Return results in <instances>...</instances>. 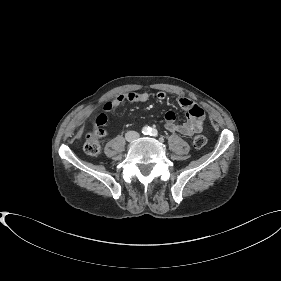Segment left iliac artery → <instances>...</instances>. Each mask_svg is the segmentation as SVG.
I'll return each mask as SVG.
<instances>
[{"label":"left iliac artery","instance_id":"44dca946","mask_svg":"<svg viewBox=\"0 0 281 281\" xmlns=\"http://www.w3.org/2000/svg\"><path fill=\"white\" fill-rule=\"evenodd\" d=\"M150 135L156 137L158 135V131L155 128H152L150 131Z\"/></svg>","mask_w":281,"mask_h":281}]
</instances>
